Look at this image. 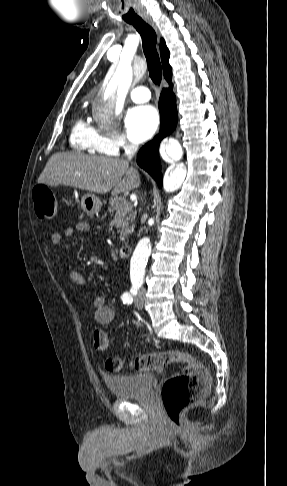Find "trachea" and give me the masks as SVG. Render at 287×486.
<instances>
[{
	"mask_svg": "<svg viewBox=\"0 0 287 486\" xmlns=\"http://www.w3.org/2000/svg\"><path fill=\"white\" fill-rule=\"evenodd\" d=\"M142 38L143 51L147 60L149 76L154 84L160 85L162 80V67L156 49V33L154 29L143 19L129 21Z\"/></svg>",
	"mask_w": 287,
	"mask_h": 486,
	"instance_id": "3493384b",
	"label": "trachea"
}]
</instances>
